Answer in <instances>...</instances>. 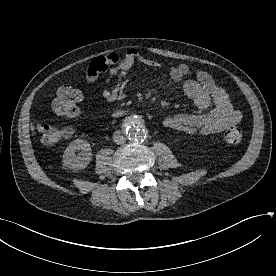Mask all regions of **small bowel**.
I'll return each instance as SVG.
<instances>
[{"label": "small bowel", "mask_w": 276, "mask_h": 276, "mask_svg": "<svg viewBox=\"0 0 276 276\" xmlns=\"http://www.w3.org/2000/svg\"><path fill=\"white\" fill-rule=\"evenodd\" d=\"M149 67H158L156 60L142 56L135 48L125 54L110 53L93 58L84 70L86 83L93 85L101 73L106 72L103 81L102 96L108 102L120 101L125 97V90L133 76L136 63ZM190 69L187 64H179L170 69L173 81L181 83L184 93L193 100L195 105L206 110L211 105L214 108L202 114H176L164 119L165 127L187 134L209 136L220 133L242 119V114L235 109L222 86L213 77L202 70L197 71L196 79L185 80ZM113 81L115 84L112 86Z\"/></svg>", "instance_id": "1"}]
</instances>
